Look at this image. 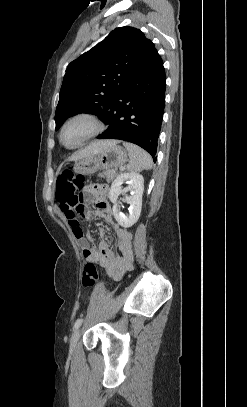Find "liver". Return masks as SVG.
Instances as JSON below:
<instances>
[{"label":"liver","mask_w":247,"mask_h":407,"mask_svg":"<svg viewBox=\"0 0 247 407\" xmlns=\"http://www.w3.org/2000/svg\"><path fill=\"white\" fill-rule=\"evenodd\" d=\"M117 144L115 140H103V141H94L85 148L77 151L69 160L70 161H78L84 157L97 154L104 148L110 145Z\"/></svg>","instance_id":"1"}]
</instances>
